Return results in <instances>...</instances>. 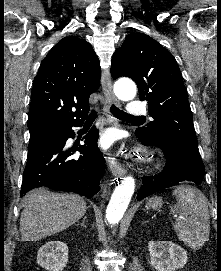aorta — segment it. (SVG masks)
Listing matches in <instances>:
<instances>
[{"label": "aorta", "instance_id": "obj_1", "mask_svg": "<svg viewBox=\"0 0 221 271\" xmlns=\"http://www.w3.org/2000/svg\"><path fill=\"white\" fill-rule=\"evenodd\" d=\"M114 93L119 99L128 101L136 96L137 88L133 81L123 79L115 83ZM134 190L135 180L131 176L124 177L115 188L106 209V218L111 225L117 224L122 219Z\"/></svg>", "mask_w": 221, "mask_h": 271}]
</instances>
